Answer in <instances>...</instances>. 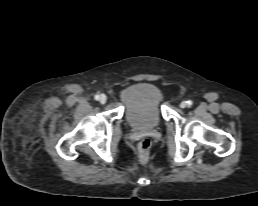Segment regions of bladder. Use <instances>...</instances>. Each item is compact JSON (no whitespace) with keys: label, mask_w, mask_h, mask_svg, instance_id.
I'll return each instance as SVG.
<instances>
[{"label":"bladder","mask_w":258,"mask_h":206,"mask_svg":"<svg viewBox=\"0 0 258 206\" xmlns=\"http://www.w3.org/2000/svg\"><path fill=\"white\" fill-rule=\"evenodd\" d=\"M126 122L135 129H152L162 120L163 96L148 82L135 83L121 93Z\"/></svg>","instance_id":"31cf9c89"}]
</instances>
